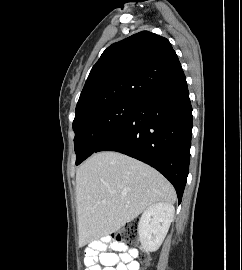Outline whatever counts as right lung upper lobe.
I'll return each instance as SVG.
<instances>
[{"label": "right lung upper lobe", "instance_id": "obj_1", "mask_svg": "<svg viewBox=\"0 0 242 270\" xmlns=\"http://www.w3.org/2000/svg\"><path fill=\"white\" fill-rule=\"evenodd\" d=\"M182 70L170 42L142 31L109 46L93 66L76 115L118 100L137 101Z\"/></svg>", "mask_w": 242, "mask_h": 270}]
</instances>
